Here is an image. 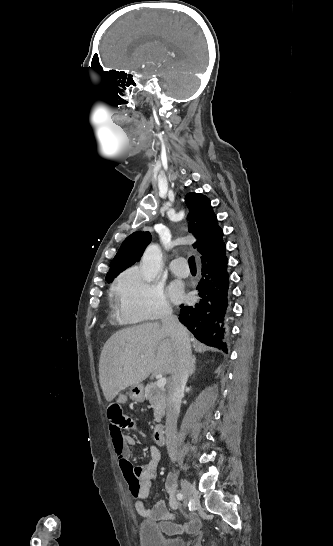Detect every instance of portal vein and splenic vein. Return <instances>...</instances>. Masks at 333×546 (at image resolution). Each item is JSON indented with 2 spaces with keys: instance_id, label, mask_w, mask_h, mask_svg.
Instances as JSON below:
<instances>
[{
  "instance_id": "portal-vein-and-splenic-vein-1",
  "label": "portal vein and splenic vein",
  "mask_w": 333,
  "mask_h": 546,
  "mask_svg": "<svg viewBox=\"0 0 333 546\" xmlns=\"http://www.w3.org/2000/svg\"><path fill=\"white\" fill-rule=\"evenodd\" d=\"M166 383H167V379L165 377H160L156 382L157 386L162 388H164Z\"/></svg>"
}]
</instances>
